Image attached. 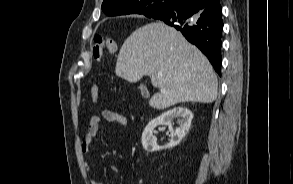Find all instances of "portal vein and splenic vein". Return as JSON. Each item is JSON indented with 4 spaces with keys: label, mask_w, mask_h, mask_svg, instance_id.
Returning <instances> with one entry per match:
<instances>
[{
    "label": "portal vein and splenic vein",
    "mask_w": 293,
    "mask_h": 184,
    "mask_svg": "<svg viewBox=\"0 0 293 184\" xmlns=\"http://www.w3.org/2000/svg\"><path fill=\"white\" fill-rule=\"evenodd\" d=\"M161 92H162V93H166V90H165V89H161Z\"/></svg>",
    "instance_id": "obj_1"
}]
</instances>
